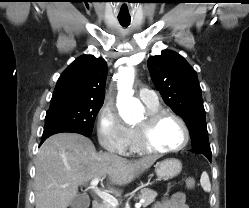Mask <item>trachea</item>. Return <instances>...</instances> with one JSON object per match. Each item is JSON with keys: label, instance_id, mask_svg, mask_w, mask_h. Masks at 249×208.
Returning <instances> with one entry per match:
<instances>
[{"label": "trachea", "instance_id": "1", "mask_svg": "<svg viewBox=\"0 0 249 208\" xmlns=\"http://www.w3.org/2000/svg\"><path fill=\"white\" fill-rule=\"evenodd\" d=\"M119 22H120V24L122 26L127 27L130 24L131 20H129V19H119Z\"/></svg>", "mask_w": 249, "mask_h": 208}]
</instances>
